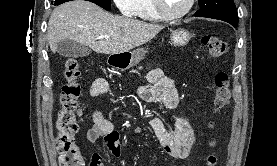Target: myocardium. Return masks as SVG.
<instances>
[{"instance_id": "f54148a6", "label": "myocardium", "mask_w": 277, "mask_h": 166, "mask_svg": "<svg viewBox=\"0 0 277 166\" xmlns=\"http://www.w3.org/2000/svg\"><path fill=\"white\" fill-rule=\"evenodd\" d=\"M195 0H188L186 6L178 13H170L166 10L163 0H153L157 13L163 20L174 21L186 16L194 5Z\"/></svg>"}]
</instances>
